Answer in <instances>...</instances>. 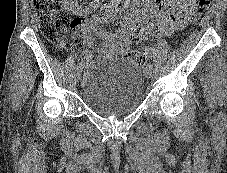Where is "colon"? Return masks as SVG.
<instances>
[{"label":"colon","instance_id":"colon-1","mask_svg":"<svg viewBox=\"0 0 227 173\" xmlns=\"http://www.w3.org/2000/svg\"><path fill=\"white\" fill-rule=\"evenodd\" d=\"M35 18L40 26L42 34L49 40L57 43L59 48L65 45V37L69 28L82 33L87 30L88 24L81 20H71L69 15L61 10L60 0H31ZM213 0H197V10L202 14L211 11ZM79 44V48H83ZM132 60L142 63L145 58L141 53L130 52L127 56Z\"/></svg>","mask_w":227,"mask_h":173}]
</instances>
